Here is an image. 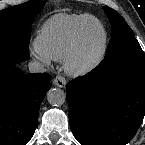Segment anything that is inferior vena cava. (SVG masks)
Listing matches in <instances>:
<instances>
[{"instance_id": "obj_1", "label": "inferior vena cava", "mask_w": 145, "mask_h": 145, "mask_svg": "<svg viewBox=\"0 0 145 145\" xmlns=\"http://www.w3.org/2000/svg\"><path fill=\"white\" fill-rule=\"evenodd\" d=\"M29 71L31 73H36V72H45L46 69L45 67L39 63V62H30L29 63Z\"/></svg>"}]
</instances>
